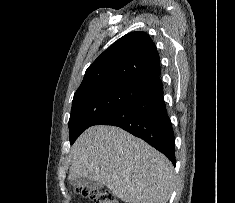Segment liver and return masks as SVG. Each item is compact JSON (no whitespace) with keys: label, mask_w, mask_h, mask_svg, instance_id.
<instances>
[{"label":"liver","mask_w":235,"mask_h":203,"mask_svg":"<svg viewBox=\"0 0 235 203\" xmlns=\"http://www.w3.org/2000/svg\"><path fill=\"white\" fill-rule=\"evenodd\" d=\"M69 158V179L98 182L126 203H167L170 198L171 162L119 127L88 128L72 146Z\"/></svg>","instance_id":"obj_1"}]
</instances>
